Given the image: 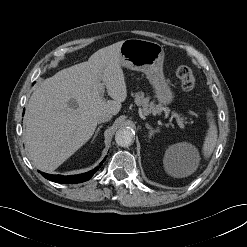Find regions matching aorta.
Wrapping results in <instances>:
<instances>
[{
	"instance_id": "aorta-1",
	"label": "aorta",
	"mask_w": 247,
	"mask_h": 247,
	"mask_svg": "<svg viewBox=\"0 0 247 247\" xmlns=\"http://www.w3.org/2000/svg\"><path fill=\"white\" fill-rule=\"evenodd\" d=\"M134 134L130 129H119L115 134V141L121 147H128L133 143Z\"/></svg>"
}]
</instances>
